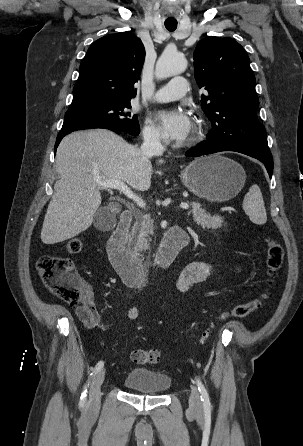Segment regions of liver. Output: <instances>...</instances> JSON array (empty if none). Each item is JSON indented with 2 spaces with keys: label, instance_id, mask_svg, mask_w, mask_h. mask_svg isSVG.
Wrapping results in <instances>:
<instances>
[{
  "label": "liver",
  "instance_id": "1",
  "mask_svg": "<svg viewBox=\"0 0 303 446\" xmlns=\"http://www.w3.org/2000/svg\"><path fill=\"white\" fill-rule=\"evenodd\" d=\"M3 0H0V4ZM163 164L164 160L157 161ZM60 180L44 218L41 240L55 244L88 229L101 204L96 180H118L146 191L151 186L152 164L136 146L105 130L74 132L62 139L56 153Z\"/></svg>",
  "mask_w": 303,
  "mask_h": 446
}]
</instances>
